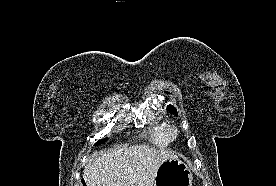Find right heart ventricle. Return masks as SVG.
I'll list each match as a JSON object with an SVG mask.
<instances>
[{
  "label": "right heart ventricle",
  "instance_id": "1",
  "mask_svg": "<svg viewBox=\"0 0 276 186\" xmlns=\"http://www.w3.org/2000/svg\"><path fill=\"white\" fill-rule=\"evenodd\" d=\"M149 139L159 147H166L169 144V140L164 133V125L156 124L152 126L147 132Z\"/></svg>",
  "mask_w": 276,
  "mask_h": 186
}]
</instances>
